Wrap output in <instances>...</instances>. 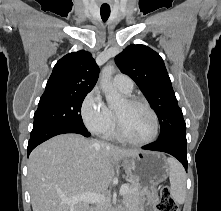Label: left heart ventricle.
<instances>
[{
    "label": "left heart ventricle",
    "instance_id": "b2bd125f",
    "mask_svg": "<svg viewBox=\"0 0 221 211\" xmlns=\"http://www.w3.org/2000/svg\"><path fill=\"white\" fill-rule=\"evenodd\" d=\"M126 134L136 141H144L153 133V118L143 106L130 105L124 100L116 109Z\"/></svg>",
    "mask_w": 221,
    "mask_h": 211
}]
</instances>
